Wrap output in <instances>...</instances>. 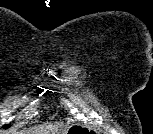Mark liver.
Segmentation results:
<instances>
[{
	"label": "liver",
	"mask_w": 153,
	"mask_h": 134,
	"mask_svg": "<svg viewBox=\"0 0 153 134\" xmlns=\"http://www.w3.org/2000/svg\"><path fill=\"white\" fill-rule=\"evenodd\" d=\"M40 127L39 128H35V130L34 131H20V132H17V133H15V134H34V133H38V132H41L40 131Z\"/></svg>",
	"instance_id": "obj_1"
}]
</instances>
